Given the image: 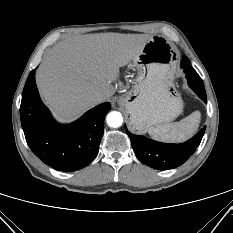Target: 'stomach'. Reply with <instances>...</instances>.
Listing matches in <instances>:
<instances>
[{
  "label": "stomach",
  "mask_w": 233,
  "mask_h": 233,
  "mask_svg": "<svg viewBox=\"0 0 233 233\" xmlns=\"http://www.w3.org/2000/svg\"><path fill=\"white\" fill-rule=\"evenodd\" d=\"M178 58L170 41L153 36L132 61L137 77L132 89L119 98V104L129 115L133 131L145 132L181 114L183 101L173 83Z\"/></svg>",
  "instance_id": "0dacf381"
}]
</instances>
